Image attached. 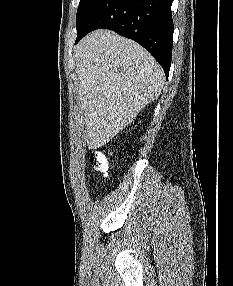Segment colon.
Wrapping results in <instances>:
<instances>
[{"label":"colon","mask_w":233,"mask_h":286,"mask_svg":"<svg viewBox=\"0 0 233 286\" xmlns=\"http://www.w3.org/2000/svg\"><path fill=\"white\" fill-rule=\"evenodd\" d=\"M110 155L106 152L94 151L90 155L92 166L99 172L106 174L109 167Z\"/></svg>","instance_id":"1"}]
</instances>
